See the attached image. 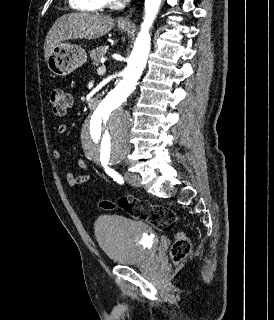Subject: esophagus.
Returning <instances> with one entry per match:
<instances>
[{
    "mask_svg": "<svg viewBox=\"0 0 274 320\" xmlns=\"http://www.w3.org/2000/svg\"><path fill=\"white\" fill-rule=\"evenodd\" d=\"M134 10H135V7H133V8L130 10V12H129L125 17H121V18L118 20L119 25H121V26H127V25H129V24H130V18H131V16H132Z\"/></svg>",
    "mask_w": 274,
    "mask_h": 320,
    "instance_id": "obj_1",
    "label": "esophagus"
}]
</instances>
